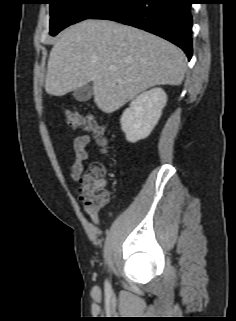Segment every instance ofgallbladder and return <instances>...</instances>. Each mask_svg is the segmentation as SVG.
Returning a JSON list of instances; mask_svg holds the SVG:
<instances>
[{"label": "gallbladder", "instance_id": "bac80fb5", "mask_svg": "<svg viewBox=\"0 0 236 321\" xmlns=\"http://www.w3.org/2000/svg\"><path fill=\"white\" fill-rule=\"evenodd\" d=\"M93 95V88L90 84L82 86L73 92L74 98L79 102L88 101Z\"/></svg>", "mask_w": 236, "mask_h": 321}]
</instances>
